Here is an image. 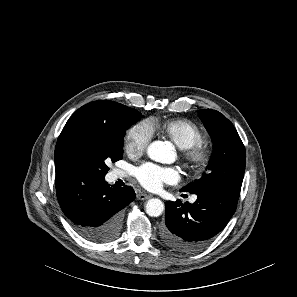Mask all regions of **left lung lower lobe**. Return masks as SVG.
I'll return each instance as SVG.
<instances>
[{"label":"left lung lower lobe","mask_w":297,"mask_h":297,"mask_svg":"<svg viewBox=\"0 0 297 297\" xmlns=\"http://www.w3.org/2000/svg\"><path fill=\"white\" fill-rule=\"evenodd\" d=\"M241 189L211 187L196 192L197 200L165 203L161 239L171 249L194 252L224 229L236 211Z\"/></svg>","instance_id":"obj_1"}]
</instances>
